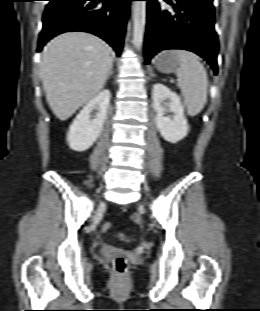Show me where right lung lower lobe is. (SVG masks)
Instances as JSON below:
<instances>
[{"label": "right lung lower lobe", "instance_id": "obj_1", "mask_svg": "<svg viewBox=\"0 0 260 311\" xmlns=\"http://www.w3.org/2000/svg\"><path fill=\"white\" fill-rule=\"evenodd\" d=\"M39 36L38 51L64 32L95 34L121 54L128 6L131 0H48Z\"/></svg>", "mask_w": 260, "mask_h": 311}]
</instances>
